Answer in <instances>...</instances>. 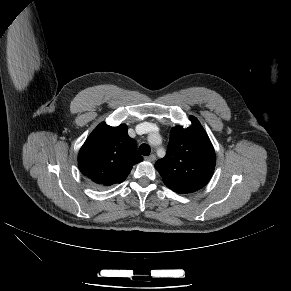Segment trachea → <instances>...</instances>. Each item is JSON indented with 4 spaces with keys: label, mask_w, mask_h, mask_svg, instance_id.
<instances>
[{
    "label": "trachea",
    "mask_w": 291,
    "mask_h": 291,
    "mask_svg": "<svg viewBox=\"0 0 291 291\" xmlns=\"http://www.w3.org/2000/svg\"><path fill=\"white\" fill-rule=\"evenodd\" d=\"M150 147L147 144H141L139 147V153L144 156H149L150 154Z\"/></svg>",
    "instance_id": "obj_1"
}]
</instances>
